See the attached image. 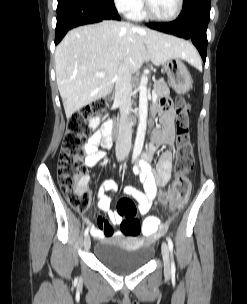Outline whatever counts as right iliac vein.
Wrapping results in <instances>:
<instances>
[{"label":"right iliac vein","instance_id":"right-iliac-vein-1","mask_svg":"<svg viewBox=\"0 0 247 304\" xmlns=\"http://www.w3.org/2000/svg\"><path fill=\"white\" fill-rule=\"evenodd\" d=\"M84 247H85L86 250H89L90 247H91V239H90L89 235L85 236Z\"/></svg>","mask_w":247,"mask_h":304}]
</instances>
